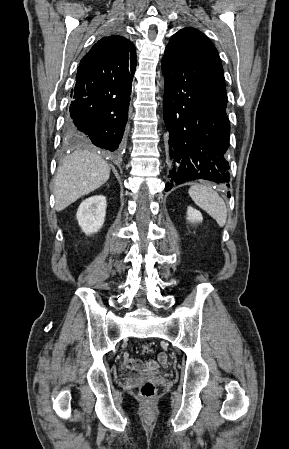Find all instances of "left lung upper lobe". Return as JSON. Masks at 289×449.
I'll list each match as a JSON object with an SVG mask.
<instances>
[{"mask_svg": "<svg viewBox=\"0 0 289 449\" xmlns=\"http://www.w3.org/2000/svg\"><path fill=\"white\" fill-rule=\"evenodd\" d=\"M165 54L191 61L212 74L225 87L222 64L213 43L194 28H184L174 34Z\"/></svg>", "mask_w": 289, "mask_h": 449, "instance_id": "5c2ea615", "label": "left lung upper lobe"}]
</instances>
